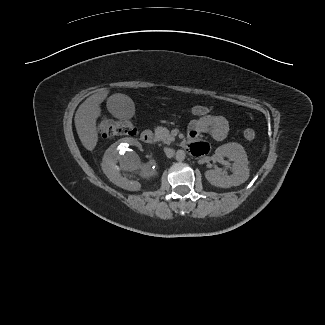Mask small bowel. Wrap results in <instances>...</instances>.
<instances>
[{"instance_id": "obj_1", "label": "small bowel", "mask_w": 325, "mask_h": 325, "mask_svg": "<svg viewBox=\"0 0 325 325\" xmlns=\"http://www.w3.org/2000/svg\"><path fill=\"white\" fill-rule=\"evenodd\" d=\"M228 123L222 116L211 115L208 118H197L192 120L189 124V137L192 141L188 144V150L191 155L199 157L205 155L210 145L203 140L196 138L202 134L207 133L215 140H223L228 135Z\"/></svg>"}]
</instances>
